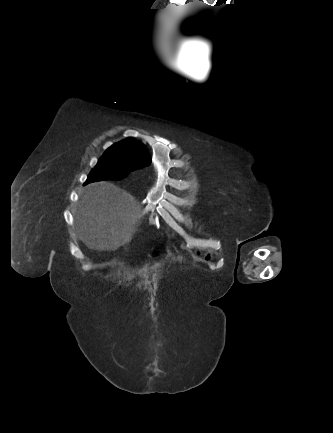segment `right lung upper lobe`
Instances as JSON below:
<instances>
[{
  "label": "right lung upper lobe",
  "instance_id": "obj_1",
  "mask_svg": "<svg viewBox=\"0 0 333 433\" xmlns=\"http://www.w3.org/2000/svg\"><path fill=\"white\" fill-rule=\"evenodd\" d=\"M105 154L115 157H129L143 165H149L151 162L146 147L132 138L115 143L106 150Z\"/></svg>",
  "mask_w": 333,
  "mask_h": 433
}]
</instances>
